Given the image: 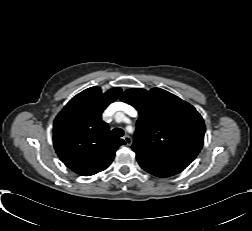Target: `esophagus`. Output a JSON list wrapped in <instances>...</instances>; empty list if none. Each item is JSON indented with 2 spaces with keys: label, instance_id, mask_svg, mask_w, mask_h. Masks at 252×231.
<instances>
[{
  "label": "esophagus",
  "instance_id": "esophagus-1",
  "mask_svg": "<svg viewBox=\"0 0 252 231\" xmlns=\"http://www.w3.org/2000/svg\"><path fill=\"white\" fill-rule=\"evenodd\" d=\"M123 139H124V141L126 142V144H127L128 146L132 144V139H131L130 136L125 135V136L123 137Z\"/></svg>",
  "mask_w": 252,
  "mask_h": 231
}]
</instances>
